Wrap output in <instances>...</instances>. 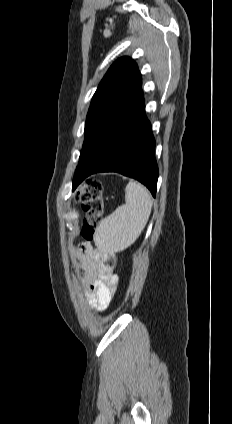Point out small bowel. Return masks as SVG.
Segmentation results:
<instances>
[{
	"label": "small bowel",
	"mask_w": 232,
	"mask_h": 424,
	"mask_svg": "<svg viewBox=\"0 0 232 424\" xmlns=\"http://www.w3.org/2000/svg\"><path fill=\"white\" fill-rule=\"evenodd\" d=\"M72 254L85 275L89 306L98 312L105 310L116 292L117 277L102 265L98 256L91 255L88 243L75 247Z\"/></svg>",
	"instance_id": "1"
}]
</instances>
